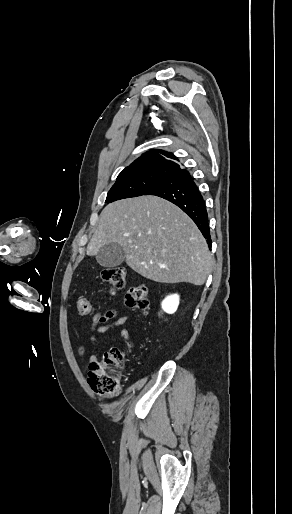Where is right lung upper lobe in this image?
I'll list each match as a JSON object with an SVG mask.
<instances>
[{
	"mask_svg": "<svg viewBox=\"0 0 292 514\" xmlns=\"http://www.w3.org/2000/svg\"><path fill=\"white\" fill-rule=\"evenodd\" d=\"M173 160L178 159L172 153L153 149L142 154L141 157L126 167L119 175L142 172H165L172 175L178 171L185 170Z\"/></svg>",
	"mask_w": 292,
	"mask_h": 514,
	"instance_id": "right-lung-upper-lobe-1",
	"label": "right lung upper lobe"
}]
</instances>
